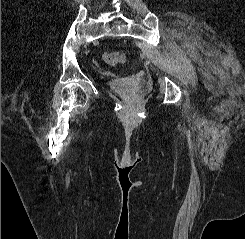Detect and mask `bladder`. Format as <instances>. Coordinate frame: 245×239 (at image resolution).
I'll return each mask as SVG.
<instances>
[{
	"instance_id": "31cf9c89",
	"label": "bladder",
	"mask_w": 245,
	"mask_h": 239,
	"mask_svg": "<svg viewBox=\"0 0 245 239\" xmlns=\"http://www.w3.org/2000/svg\"><path fill=\"white\" fill-rule=\"evenodd\" d=\"M110 87L117 93L125 95H136L143 91L144 84H137L130 78L113 80L109 83Z\"/></svg>"
}]
</instances>
